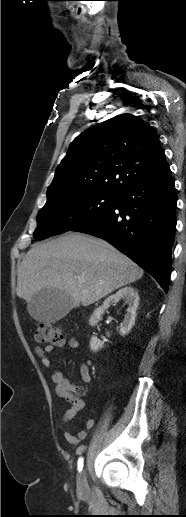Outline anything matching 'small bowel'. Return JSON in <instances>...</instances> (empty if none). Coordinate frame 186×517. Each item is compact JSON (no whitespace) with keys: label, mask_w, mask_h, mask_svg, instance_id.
<instances>
[{"label":"small bowel","mask_w":186,"mask_h":517,"mask_svg":"<svg viewBox=\"0 0 186 517\" xmlns=\"http://www.w3.org/2000/svg\"><path fill=\"white\" fill-rule=\"evenodd\" d=\"M67 343L68 346L72 349L79 348V341L74 336H69L66 340H62L59 342V345H63ZM53 346L49 345L45 348L40 346H36L34 348V352L36 356L40 359L43 366L49 368L51 366L50 359L48 354L53 350ZM80 374L81 378L85 383H89L91 381L90 368L87 363H82L80 366ZM52 380L55 384V392L57 396L68 400L71 403L70 408H68L62 417L64 423L70 422L77 413L83 409L84 401L78 397H76V393L79 390V386L70 382L66 379L63 374L54 370L52 372ZM95 426V421L90 419L86 422L85 429L80 430L77 435L72 434L71 431L67 430L64 432V438L66 441L72 445L78 444L80 441L86 439L88 435V431L91 430Z\"/></svg>","instance_id":"obj_1"}]
</instances>
